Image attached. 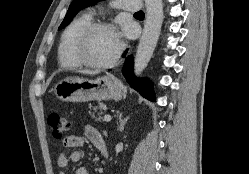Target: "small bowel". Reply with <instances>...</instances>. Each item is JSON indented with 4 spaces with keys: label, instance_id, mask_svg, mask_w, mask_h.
Masks as SVG:
<instances>
[{
    "label": "small bowel",
    "instance_id": "c3829d8e",
    "mask_svg": "<svg viewBox=\"0 0 249 174\" xmlns=\"http://www.w3.org/2000/svg\"><path fill=\"white\" fill-rule=\"evenodd\" d=\"M84 136L90 140L102 156L103 147H107L106 141L99 133V131L92 125H86L84 127ZM85 138L76 135H69L63 140L64 150L59 154L57 162L63 171L60 174H65V170L71 163H77L81 159V152L79 150H72L83 146ZM71 150V151H70ZM72 174H90L87 168L80 166L73 170Z\"/></svg>",
    "mask_w": 249,
    "mask_h": 174
}]
</instances>
